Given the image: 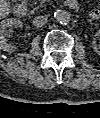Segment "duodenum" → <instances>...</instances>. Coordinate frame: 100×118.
Here are the masks:
<instances>
[{"mask_svg":"<svg viewBox=\"0 0 100 118\" xmlns=\"http://www.w3.org/2000/svg\"><path fill=\"white\" fill-rule=\"evenodd\" d=\"M67 5L71 9H77L78 8V2L77 0H67ZM28 10L27 3L24 0H19V2L15 6V13L18 17H23L26 15Z\"/></svg>","mask_w":100,"mask_h":118,"instance_id":"1","label":"duodenum"}]
</instances>
